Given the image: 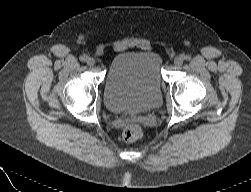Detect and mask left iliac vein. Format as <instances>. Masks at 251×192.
<instances>
[{"mask_svg":"<svg viewBox=\"0 0 251 192\" xmlns=\"http://www.w3.org/2000/svg\"><path fill=\"white\" fill-rule=\"evenodd\" d=\"M182 64H183V58H182L181 56L176 57V58L174 59V65H175L176 67H180Z\"/></svg>","mask_w":251,"mask_h":192,"instance_id":"obj_1","label":"left iliac vein"}]
</instances>
